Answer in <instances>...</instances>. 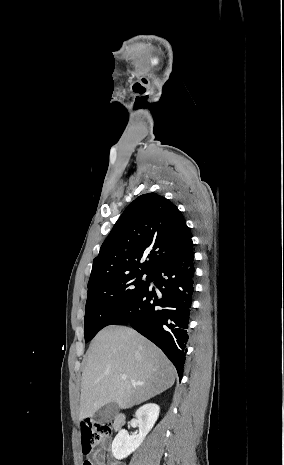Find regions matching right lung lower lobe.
I'll return each instance as SVG.
<instances>
[{
	"label": "right lung lower lobe",
	"instance_id": "98d812e1",
	"mask_svg": "<svg viewBox=\"0 0 284 465\" xmlns=\"http://www.w3.org/2000/svg\"><path fill=\"white\" fill-rule=\"evenodd\" d=\"M194 251L190 240L159 264L146 287L110 323L130 324L156 344L182 378L194 297ZM153 281L159 291L150 286Z\"/></svg>",
	"mask_w": 284,
	"mask_h": 465
}]
</instances>
